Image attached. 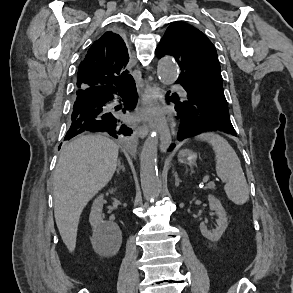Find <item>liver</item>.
I'll list each match as a JSON object with an SVG mask.
<instances>
[{
    "mask_svg": "<svg viewBox=\"0 0 293 293\" xmlns=\"http://www.w3.org/2000/svg\"><path fill=\"white\" fill-rule=\"evenodd\" d=\"M119 147L102 135L77 137L62 150L53 177L54 216L70 252L76 246L81 213L113 177Z\"/></svg>",
    "mask_w": 293,
    "mask_h": 293,
    "instance_id": "obj_1",
    "label": "liver"
}]
</instances>
